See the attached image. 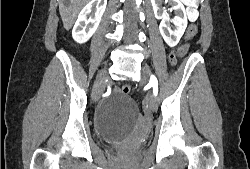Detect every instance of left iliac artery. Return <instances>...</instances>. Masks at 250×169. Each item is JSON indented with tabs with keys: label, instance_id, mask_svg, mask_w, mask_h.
Segmentation results:
<instances>
[{
	"label": "left iliac artery",
	"instance_id": "left-iliac-artery-1",
	"mask_svg": "<svg viewBox=\"0 0 250 169\" xmlns=\"http://www.w3.org/2000/svg\"><path fill=\"white\" fill-rule=\"evenodd\" d=\"M150 85L153 87V93L155 96L158 94V81L154 75L150 77Z\"/></svg>",
	"mask_w": 250,
	"mask_h": 169
}]
</instances>
